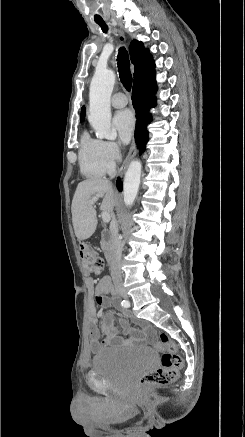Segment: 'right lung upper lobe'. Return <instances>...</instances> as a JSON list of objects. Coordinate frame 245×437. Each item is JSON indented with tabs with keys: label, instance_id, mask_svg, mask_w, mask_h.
Returning <instances> with one entry per match:
<instances>
[{
	"label": "right lung upper lobe",
	"instance_id": "1",
	"mask_svg": "<svg viewBox=\"0 0 245 437\" xmlns=\"http://www.w3.org/2000/svg\"><path fill=\"white\" fill-rule=\"evenodd\" d=\"M129 52L135 69L133 85L149 82L155 79V63L151 54L146 51L143 42L137 41L136 39L131 41ZM85 111V107H82L81 121L85 118Z\"/></svg>",
	"mask_w": 245,
	"mask_h": 437
}]
</instances>
